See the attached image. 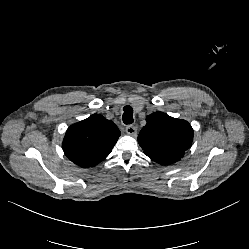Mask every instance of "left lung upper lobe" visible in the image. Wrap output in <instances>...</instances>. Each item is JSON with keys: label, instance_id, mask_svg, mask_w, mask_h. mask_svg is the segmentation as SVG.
<instances>
[{"label": "left lung upper lobe", "instance_id": "1", "mask_svg": "<svg viewBox=\"0 0 249 249\" xmlns=\"http://www.w3.org/2000/svg\"><path fill=\"white\" fill-rule=\"evenodd\" d=\"M147 124L138 135V143L153 161L169 165L179 161L191 146L193 129L181 119L163 112H155L146 117Z\"/></svg>", "mask_w": 249, "mask_h": 249}]
</instances>
